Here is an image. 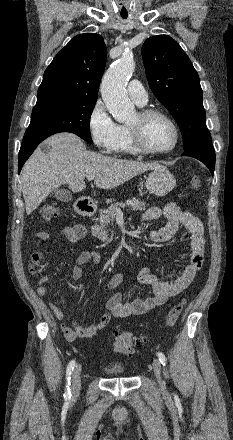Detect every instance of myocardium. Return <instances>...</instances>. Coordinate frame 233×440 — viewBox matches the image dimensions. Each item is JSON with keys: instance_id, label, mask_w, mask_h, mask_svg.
<instances>
[{"instance_id": "f54148a6", "label": "myocardium", "mask_w": 233, "mask_h": 440, "mask_svg": "<svg viewBox=\"0 0 233 440\" xmlns=\"http://www.w3.org/2000/svg\"><path fill=\"white\" fill-rule=\"evenodd\" d=\"M137 114H138L139 118L141 119V121H146L154 116L162 117L170 124V126L173 130V133H174V140H173L172 145L169 148L164 149V150H154V149H151L146 144V142L144 140V134H143L142 128L128 126V130H129L130 136L132 138L133 145L139 153L145 154V155L157 156V155L168 154L176 149V147L178 146V143H179L180 134H179V129H178L175 121L172 119V117L170 115H168L166 112H164L160 109H156V108H145V109L140 110Z\"/></svg>"}]
</instances>
